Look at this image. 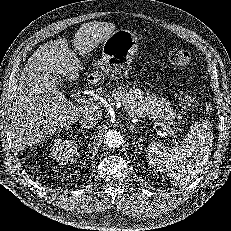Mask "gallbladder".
<instances>
[{
  "instance_id": "gallbladder-1",
  "label": "gallbladder",
  "mask_w": 231,
  "mask_h": 231,
  "mask_svg": "<svg viewBox=\"0 0 231 231\" xmlns=\"http://www.w3.org/2000/svg\"><path fill=\"white\" fill-rule=\"evenodd\" d=\"M57 82L60 83L61 86L64 85V79L61 76L58 77Z\"/></svg>"
}]
</instances>
